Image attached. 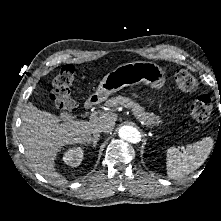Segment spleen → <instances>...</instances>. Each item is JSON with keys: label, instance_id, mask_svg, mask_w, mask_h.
<instances>
[{"label": "spleen", "instance_id": "spleen-1", "mask_svg": "<svg viewBox=\"0 0 221 221\" xmlns=\"http://www.w3.org/2000/svg\"><path fill=\"white\" fill-rule=\"evenodd\" d=\"M213 138L205 137L199 142L189 144L184 152L170 147L166 152V168L169 178L178 179L195 171L203 165L213 148Z\"/></svg>", "mask_w": 221, "mask_h": 221}]
</instances>
